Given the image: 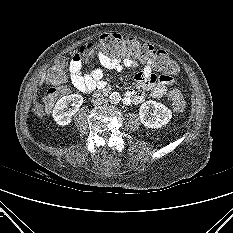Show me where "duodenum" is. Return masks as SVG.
<instances>
[{"label":"duodenum","instance_id":"obj_1","mask_svg":"<svg viewBox=\"0 0 233 233\" xmlns=\"http://www.w3.org/2000/svg\"><path fill=\"white\" fill-rule=\"evenodd\" d=\"M109 93L108 89L107 88H101L97 91V94L99 96H106L107 94Z\"/></svg>","mask_w":233,"mask_h":233}]
</instances>
